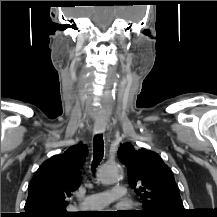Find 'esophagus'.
<instances>
[{
    "instance_id": "34e87169",
    "label": "esophagus",
    "mask_w": 217,
    "mask_h": 217,
    "mask_svg": "<svg viewBox=\"0 0 217 217\" xmlns=\"http://www.w3.org/2000/svg\"><path fill=\"white\" fill-rule=\"evenodd\" d=\"M93 131H94L95 134L103 133L105 131V126L104 125H100V124H96L94 126Z\"/></svg>"
}]
</instances>
